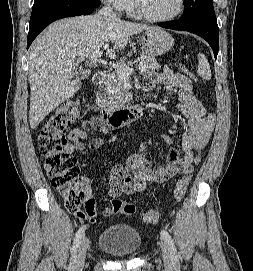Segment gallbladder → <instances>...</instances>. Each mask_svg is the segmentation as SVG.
Wrapping results in <instances>:
<instances>
[{
  "mask_svg": "<svg viewBox=\"0 0 253 271\" xmlns=\"http://www.w3.org/2000/svg\"><path fill=\"white\" fill-rule=\"evenodd\" d=\"M90 74H91V72L89 70L82 69V70H79L77 72V77L80 80H85V79H87L90 76Z\"/></svg>",
  "mask_w": 253,
  "mask_h": 271,
  "instance_id": "bac80fb5",
  "label": "gallbladder"
}]
</instances>
